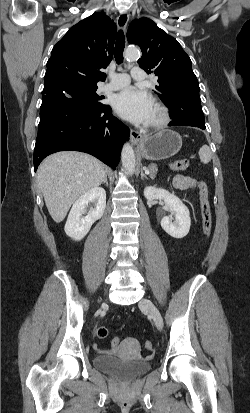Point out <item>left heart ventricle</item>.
I'll use <instances>...</instances> for the list:
<instances>
[{
    "label": "left heart ventricle",
    "instance_id": "b2bd125f",
    "mask_svg": "<svg viewBox=\"0 0 250 413\" xmlns=\"http://www.w3.org/2000/svg\"><path fill=\"white\" fill-rule=\"evenodd\" d=\"M156 119H157V112H156V110H155V108H154V106H153L149 123L154 122Z\"/></svg>",
    "mask_w": 250,
    "mask_h": 413
}]
</instances>
